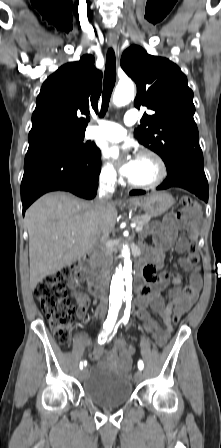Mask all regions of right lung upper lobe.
<instances>
[{"mask_svg":"<svg viewBox=\"0 0 221 448\" xmlns=\"http://www.w3.org/2000/svg\"><path fill=\"white\" fill-rule=\"evenodd\" d=\"M101 89L102 72L94 67L92 55L61 66L45 80L37 97L29 149L84 134L88 120L82 116L98 110Z\"/></svg>","mask_w":221,"mask_h":448,"instance_id":"cb5924a9","label":"right lung upper lobe"}]
</instances>
